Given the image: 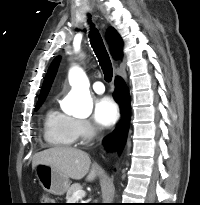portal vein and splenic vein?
Returning <instances> with one entry per match:
<instances>
[{
  "instance_id": "18ae733b",
  "label": "portal vein and splenic vein",
  "mask_w": 200,
  "mask_h": 205,
  "mask_svg": "<svg viewBox=\"0 0 200 205\" xmlns=\"http://www.w3.org/2000/svg\"><path fill=\"white\" fill-rule=\"evenodd\" d=\"M86 193L83 190L76 191L72 196V201H77L85 197Z\"/></svg>"
}]
</instances>
